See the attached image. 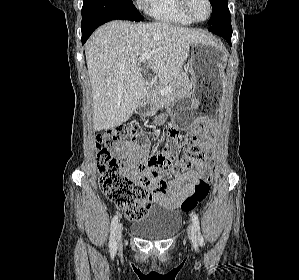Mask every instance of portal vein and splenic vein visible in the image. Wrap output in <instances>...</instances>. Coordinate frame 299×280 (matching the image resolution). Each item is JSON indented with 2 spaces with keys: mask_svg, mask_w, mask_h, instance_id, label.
Returning <instances> with one entry per match:
<instances>
[{
  "mask_svg": "<svg viewBox=\"0 0 299 280\" xmlns=\"http://www.w3.org/2000/svg\"><path fill=\"white\" fill-rule=\"evenodd\" d=\"M152 54H153V51H147V52L143 53L139 58V63L148 61L151 58ZM171 91H172V86H167L165 88L158 87V92L161 95L168 94Z\"/></svg>",
  "mask_w": 299,
  "mask_h": 280,
  "instance_id": "1",
  "label": "portal vein and splenic vein"
}]
</instances>
